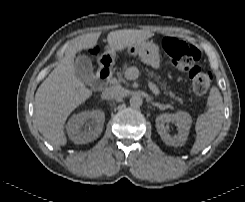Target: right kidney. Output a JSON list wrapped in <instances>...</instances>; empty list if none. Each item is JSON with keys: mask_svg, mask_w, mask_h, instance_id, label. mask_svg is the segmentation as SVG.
Returning <instances> with one entry per match:
<instances>
[{"mask_svg": "<svg viewBox=\"0 0 245 202\" xmlns=\"http://www.w3.org/2000/svg\"><path fill=\"white\" fill-rule=\"evenodd\" d=\"M104 121L105 114L100 110L74 114L66 125L68 136L76 144L91 142L101 134Z\"/></svg>", "mask_w": 245, "mask_h": 202, "instance_id": "right-kidney-1", "label": "right kidney"}]
</instances>
